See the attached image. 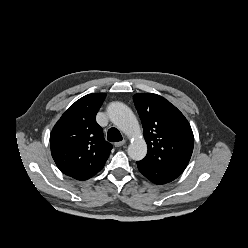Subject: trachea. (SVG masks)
<instances>
[{"label":"trachea","instance_id":"obj_1","mask_svg":"<svg viewBox=\"0 0 248 248\" xmlns=\"http://www.w3.org/2000/svg\"><path fill=\"white\" fill-rule=\"evenodd\" d=\"M107 139L111 142H119L122 140V135L118 129L112 127L108 130Z\"/></svg>","mask_w":248,"mask_h":248}]
</instances>
